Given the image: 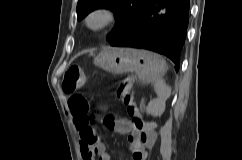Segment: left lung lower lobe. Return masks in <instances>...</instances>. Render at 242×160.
Wrapping results in <instances>:
<instances>
[{
    "label": "left lung lower lobe",
    "mask_w": 242,
    "mask_h": 160,
    "mask_svg": "<svg viewBox=\"0 0 242 160\" xmlns=\"http://www.w3.org/2000/svg\"><path fill=\"white\" fill-rule=\"evenodd\" d=\"M190 0H148L130 31L111 42V46L152 50L180 66L186 38Z\"/></svg>",
    "instance_id": "left-lung-lower-lobe-1"
}]
</instances>
